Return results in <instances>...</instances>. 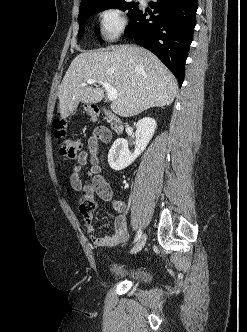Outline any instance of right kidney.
<instances>
[{"mask_svg":"<svg viewBox=\"0 0 247 332\" xmlns=\"http://www.w3.org/2000/svg\"><path fill=\"white\" fill-rule=\"evenodd\" d=\"M156 121L153 118L145 117L136 124L135 150L131 153L128 149V142L124 138H118L108 153V163L113 170L119 171L128 167L145 150L152 139Z\"/></svg>","mask_w":247,"mask_h":332,"instance_id":"ca27d5eb","label":"right kidney"}]
</instances>
